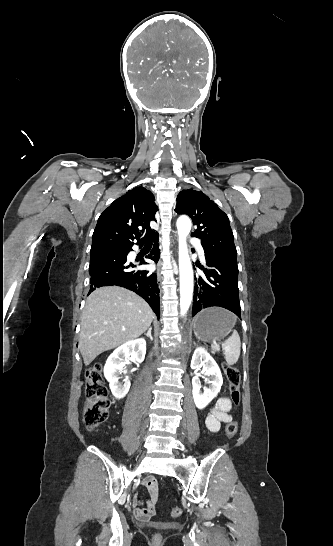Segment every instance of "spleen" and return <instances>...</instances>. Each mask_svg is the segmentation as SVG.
Returning <instances> with one entry per match:
<instances>
[{
    "instance_id": "spleen-1",
    "label": "spleen",
    "mask_w": 333,
    "mask_h": 546,
    "mask_svg": "<svg viewBox=\"0 0 333 546\" xmlns=\"http://www.w3.org/2000/svg\"><path fill=\"white\" fill-rule=\"evenodd\" d=\"M233 315V314H232ZM234 320L236 321V316L233 315ZM212 349L214 351H219L220 346L216 342L212 344ZM222 350L224 358L227 365L231 366L237 363L240 357L241 350V341L239 334L236 330L233 331L232 335L222 343Z\"/></svg>"
}]
</instances>
